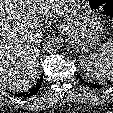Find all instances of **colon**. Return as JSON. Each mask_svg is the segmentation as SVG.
<instances>
[{
    "label": "colon",
    "instance_id": "5ec220e1",
    "mask_svg": "<svg viewBox=\"0 0 113 113\" xmlns=\"http://www.w3.org/2000/svg\"><path fill=\"white\" fill-rule=\"evenodd\" d=\"M91 5L113 19V0H90Z\"/></svg>",
    "mask_w": 113,
    "mask_h": 113
}]
</instances>
